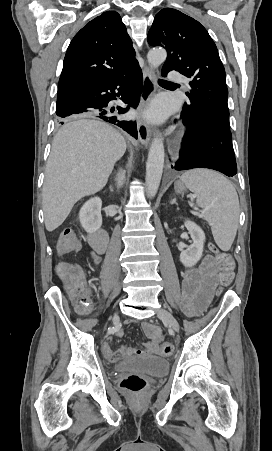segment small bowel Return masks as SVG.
<instances>
[{
	"mask_svg": "<svg viewBox=\"0 0 272 451\" xmlns=\"http://www.w3.org/2000/svg\"><path fill=\"white\" fill-rule=\"evenodd\" d=\"M89 261L92 267H96L101 262V255L94 251L89 256ZM216 271V258L212 255H205L198 267H187L182 270V299L181 307L185 313L194 316L197 315L205 306L207 298L204 295V282L205 279L215 273ZM144 331L150 337L151 341L144 344L142 350L150 352L156 351L157 346L161 342V334L158 328L149 324L143 325ZM111 340H107L103 346L102 351L105 358L110 362L112 361V352H121L122 358L140 353V350L130 347H120L117 350L110 348Z\"/></svg>",
	"mask_w": 272,
	"mask_h": 451,
	"instance_id": "obj_1",
	"label": "small bowel"
}]
</instances>
